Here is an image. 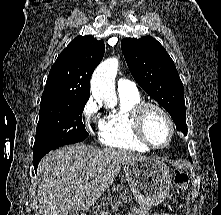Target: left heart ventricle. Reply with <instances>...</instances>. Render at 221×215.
Listing matches in <instances>:
<instances>
[{"label": "left heart ventricle", "instance_id": "obj_1", "mask_svg": "<svg viewBox=\"0 0 221 215\" xmlns=\"http://www.w3.org/2000/svg\"><path fill=\"white\" fill-rule=\"evenodd\" d=\"M144 130L149 140L156 146L164 145L170 134L166 118L156 109H149L144 120Z\"/></svg>", "mask_w": 221, "mask_h": 215}]
</instances>
